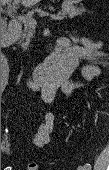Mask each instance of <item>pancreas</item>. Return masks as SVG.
Listing matches in <instances>:
<instances>
[{
	"instance_id": "1",
	"label": "pancreas",
	"mask_w": 109,
	"mask_h": 170,
	"mask_svg": "<svg viewBox=\"0 0 109 170\" xmlns=\"http://www.w3.org/2000/svg\"><path fill=\"white\" fill-rule=\"evenodd\" d=\"M87 12L84 7L77 8L75 6L65 5L62 6L61 11L58 12V16L62 18L70 17L74 18L76 16L82 15L83 13ZM24 38L29 42L30 38L33 36V29L27 25H24Z\"/></svg>"
}]
</instances>
